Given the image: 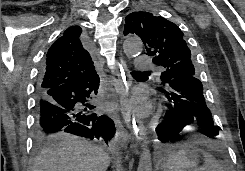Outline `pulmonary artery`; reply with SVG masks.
I'll return each instance as SVG.
<instances>
[{"mask_svg": "<svg viewBox=\"0 0 245 171\" xmlns=\"http://www.w3.org/2000/svg\"><path fill=\"white\" fill-rule=\"evenodd\" d=\"M135 62L137 64L138 70H146L153 66L150 58L145 55H139L135 57Z\"/></svg>", "mask_w": 245, "mask_h": 171, "instance_id": "obj_1", "label": "pulmonary artery"}]
</instances>
